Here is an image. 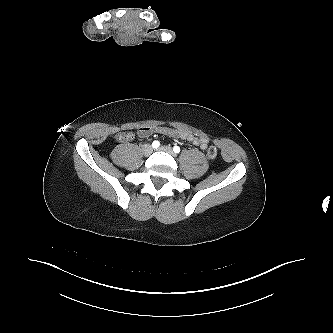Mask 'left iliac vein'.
<instances>
[{
  "label": "left iliac vein",
  "instance_id": "4c4485c4",
  "mask_svg": "<svg viewBox=\"0 0 333 333\" xmlns=\"http://www.w3.org/2000/svg\"><path fill=\"white\" fill-rule=\"evenodd\" d=\"M158 150L166 152V153H168L172 156H175V153H174L173 149L169 146H161V147L158 148Z\"/></svg>",
  "mask_w": 333,
  "mask_h": 333
}]
</instances>
